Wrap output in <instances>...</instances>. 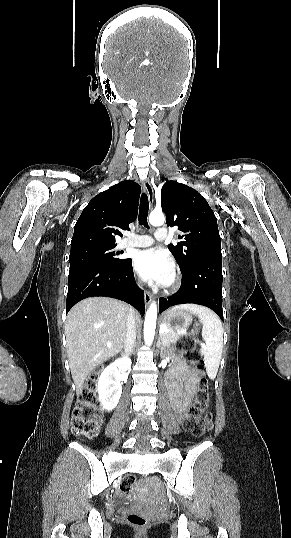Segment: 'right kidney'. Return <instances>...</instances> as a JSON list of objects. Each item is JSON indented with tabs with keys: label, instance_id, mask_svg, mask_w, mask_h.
Returning a JSON list of instances; mask_svg holds the SVG:
<instances>
[{
	"label": "right kidney",
	"instance_id": "right-kidney-1",
	"mask_svg": "<svg viewBox=\"0 0 291 538\" xmlns=\"http://www.w3.org/2000/svg\"><path fill=\"white\" fill-rule=\"evenodd\" d=\"M130 367L131 360L128 357H122L103 370L97 385L99 401L103 409L111 411L117 406L122 394V372L128 371Z\"/></svg>",
	"mask_w": 291,
	"mask_h": 538
}]
</instances>
